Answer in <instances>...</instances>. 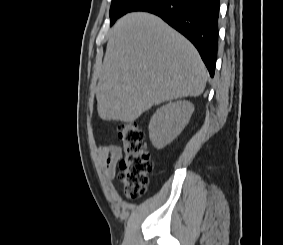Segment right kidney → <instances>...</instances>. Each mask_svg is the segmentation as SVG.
Listing matches in <instances>:
<instances>
[{
    "mask_svg": "<svg viewBox=\"0 0 283 245\" xmlns=\"http://www.w3.org/2000/svg\"><path fill=\"white\" fill-rule=\"evenodd\" d=\"M194 105L188 101H176L163 105L152 116L149 137L156 148L171 143L188 124Z\"/></svg>",
    "mask_w": 283,
    "mask_h": 245,
    "instance_id": "ca27d5eb",
    "label": "right kidney"
}]
</instances>
